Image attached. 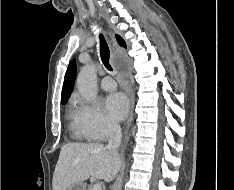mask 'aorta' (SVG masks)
<instances>
[{
	"instance_id": "obj_1",
	"label": "aorta",
	"mask_w": 234,
	"mask_h": 190,
	"mask_svg": "<svg viewBox=\"0 0 234 190\" xmlns=\"http://www.w3.org/2000/svg\"><path fill=\"white\" fill-rule=\"evenodd\" d=\"M77 88L81 96L88 102L95 100L96 88V66L94 64L84 66L77 77Z\"/></svg>"
}]
</instances>
